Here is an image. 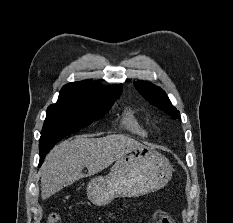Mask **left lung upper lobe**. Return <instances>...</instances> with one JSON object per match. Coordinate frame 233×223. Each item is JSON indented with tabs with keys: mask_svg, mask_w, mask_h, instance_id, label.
Segmentation results:
<instances>
[{
	"mask_svg": "<svg viewBox=\"0 0 233 223\" xmlns=\"http://www.w3.org/2000/svg\"><path fill=\"white\" fill-rule=\"evenodd\" d=\"M134 85L139 93L148 100L150 104L163 110L174 119L179 118V111L172 106L165 92L161 88L144 81H137Z\"/></svg>",
	"mask_w": 233,
	"mask_h": 223,
	"instance_id": "1",
	"label": "left lung upper lobe"
}]
</instances>
